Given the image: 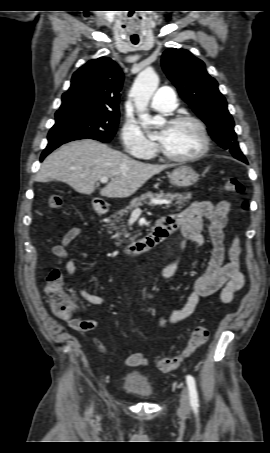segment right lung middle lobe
<instances>
[{"mask_svg":"<svg viewBox=\"0 0 270 453\" xmlns=\"http://www.w3.org/2000/svg\"><path fill=\"white\" fill-rule=\"evenodd\" d=\"M119 113L78 112L56 117L48 134V142H70L91 138L109 142L116 133Z\"/></svg>","mask_w":270,"mask_h":453,"instance_id":"right-lung-middle-lobe-1","label":"right lung middle lobe"}]
</instances>
